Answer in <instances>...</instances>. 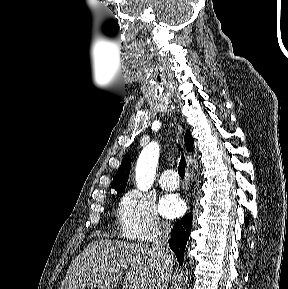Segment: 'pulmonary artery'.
Masks as SVG:
<instances>
[{
    "mask_svg": "<svg viewBox=\"0 0 288 289\" xmlns=\"http://www.w3.org/2000/svg\"><path fill=\"white\" fill-rule=\"evenodd\" d=\"M159 184L165 190H175L179 184V180L172 169H167L162 173Z\"/></svg>",
    "mask_w": 288,
    "mask_h": 289,
    "instance_id": "e3ab8cb5",
    "label": "pulmonary artery"
}]
</instances>
